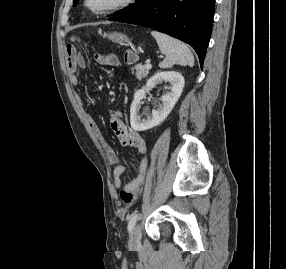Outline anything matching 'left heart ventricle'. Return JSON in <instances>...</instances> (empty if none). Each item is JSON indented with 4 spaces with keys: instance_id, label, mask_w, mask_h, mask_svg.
Segmentation results:
<instances>
[{
    "instance_id": "left-heart-ventricle-1",
    "label": "left heart ventricle",
    "mask_w": 286,
    "mask_h": 269,
    "mask_svg": "<svg viewBox=\"0 0 286 269\" xmlns=\"http://www.w3.org/2000/svg\"><path fill=\"white\" fill-rule=\"evenodd\" d=\"M120 0H90V6L93 9H101L111 6Z\"/></svg>"
}]
</instances>
